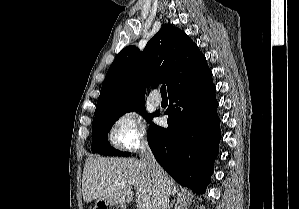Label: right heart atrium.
<instances>
[{
    "label": "right heart atrium",
    "instance_id": "d8ad5b80",
    "mask_svg": "<svg viewBox=\"0 0 299 209\" xmlns=\"http://www.w3.org/2000/svg\"><path fill=\"white\" fill-rule=\"evenodd\" d=\"M108 137L114 147L128 152L148 144L144 121L132 110L121 111L113 118Z\"/></svg>",
    "mask_w": 299,
    "mask_h": 209
}]
</instances>
